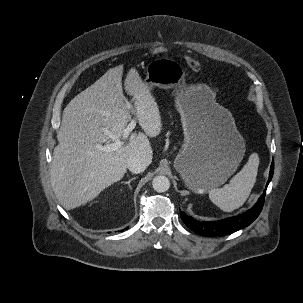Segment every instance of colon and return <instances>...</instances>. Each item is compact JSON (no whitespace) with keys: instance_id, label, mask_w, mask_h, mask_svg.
Instances as JSON below:
<instances>
[{"instance_id":"colon-1","label":"colon","mask_w":303,"mask_h":303,"mask_svg":"<svg viewBox=\"0 0 303 303\" xmlns=\"http://www.w3.org/2000/svg\"><path fill=\"white\" fill-rule=\"evenodd\" d=\"M165 52H166V48L162 45L157 46L153 49L154 55H157V56L162 55ZM185 62L191 70H193L195 72H198L201 70V63L197 59H195L191 56H185Z\"/></svg>"}]
</instances>
